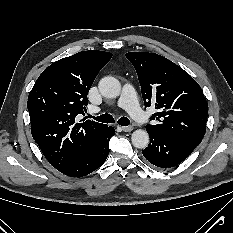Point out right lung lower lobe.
Masks as SVG:
<instances>
[{
    "label": "right lung lower lobe",
    "instance_id": "right-lung-lower-lobe-1",
    "mask_svg": "<svg viewBox=\"0 0 233 233\" xmlns=\"http://www.w3.org/2000/svg\"><path fill=\"white\" fill-rule=\"evenodd\" d=\"M114 134V128L109 127L103 139L89 153L58 170L71 177H82L93 172L105 162L109 154V140Z\"/></svg>",
    "mask_w": 233,
    "mask_h": 233
}]
</instances>
